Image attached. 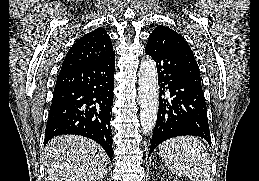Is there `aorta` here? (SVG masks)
I'll list each match as a JSON object with an SVG mask.
<instances>
[{
    "mask_svg": "<svg viewBox=\"0 0 259 181\" xmlns=\"http://www.w3.org/2000/svg\"><path fill=\"white\" fill-rule=\"evenodd\" d=\"M138 79L141 129L148 135L155 127L158 112L157 69L152 59L141 63Z\"/></svg>",
    "mask_w": 259,
    "mask_h": 181,
    "instance_id": "obj_1",
    "label": "aorta"
}]
</instances>
